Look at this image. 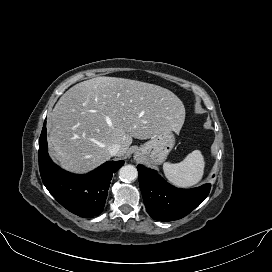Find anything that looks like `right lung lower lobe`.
Segmentation results:
<instances>
[{
	"instance_id": "98d812e1",
	"label": "right lung lower lobe",
	"mask_w": 272,
	"mask_h": 272,
	"mask_svg": "<svg viewBox=\"0 0 272 272\" xmlns=\"http://www.w3.org/2000/svg\"><path fill=\"white\" fill-rule=\"evenodd\" d=\"M124 161H108L87 175L69 173L52 162L47 151L46 121L39 139V169L51 195L67 210L84 218L98 216L105 205L110 180Z\"/></svg>"
}]
</instances>
